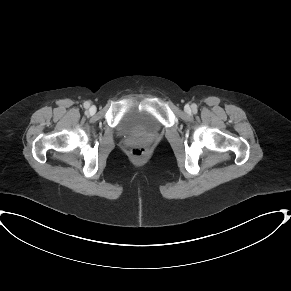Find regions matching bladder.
Returning <instances> with one entry per match:
<instances>
[{
  "instance_id": "obj_1",
  "label": "bladder",
  "mask_w": 291,
  "mask_h": 291,
  "mask_svg": "<svg viewBox=\"0 0 291 291\" xmlns=\"http://www.w3.org/2000/svg\"><path fill=\"white\" fill-rule=\"evenodd\" d=\"M119 132L124 135L148 133L159 128L157 120L146 110H134L123 114L118 123Z\"/></svg>"
}]
</instances>
